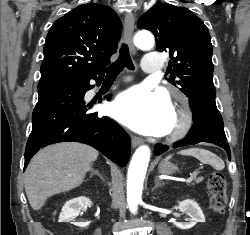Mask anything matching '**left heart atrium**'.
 <instances>
[{
    "mask_svg": "<svg viewBox=\"0 0 250 235\" xmlns=\"http://www.w3.org/2000/svg\"><path fill=\"white\" fill-rule=\"evenodd\" d=\"M113 115L139 133L157 136L171 130L174 109L164 92L137 86L117 97Z\"/></svg>",
    "mask_w": 250,
    "mask_h": 235,
    "instance_id": "1",
    "label": "left heart atrium"
}]
</instances>
